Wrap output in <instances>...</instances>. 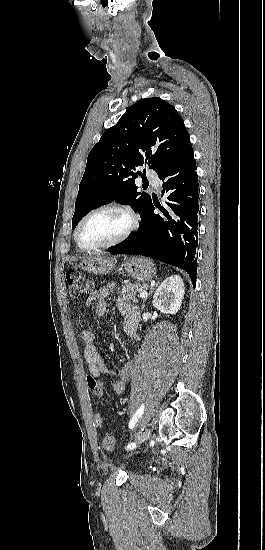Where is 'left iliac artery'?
<instances>
[{"label": "left iliac artery", "instance_id": "44dca946", "mask_svg": "<svg viewBox=\"0 0 265 550\" xmlns=\"http://www.w3.org/2000/svg\"><path fill=\"white\" fill-rule=\"evenodd\" d=\"M144 412V404H142L139 409L136 411V413L133 415L132 419L129 422V428H133L138 421V419L141 417V415ZM136 447L135 443H130L126 446L127 449H134Z\"/></svg>", "mask_w": 265, "mask_h": 550}]
</instances>
